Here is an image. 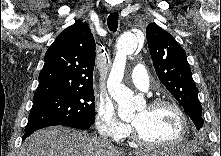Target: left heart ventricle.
Listing matches in <instances>:
<instances>
[{
	"label": "left heart ventricle",
	"instance_id": "obj_1",
	"mask_svg": "<svg viewBox=\"0 0 221 156\" xmlns=\"http://www.w3.org/2000/svg\"><path fill=\"white\" fill-rule=\"evenodd\" d=\"M145 139L157 144L174 141L181 132V121L176 111L164 106L151 110L146 106L133 119Z\"/></svg>",
	"mask_w": 221,
	"mask_h": 156
}]
</instances>
